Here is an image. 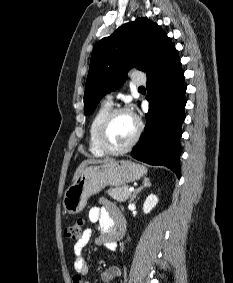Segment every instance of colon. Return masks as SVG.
Listing matches in <instances>:
<instances>
[{"label":"colon","mask_w":233,"mask_h":283,"mask_svg":"<svg viewBox=\"0 0 233 283\" xmlns=\"http://www.w3.org/2000/svg\"><path fill=\"white\" fill-rule=\"evenodd\" d=\"M83 228L84 221L79 218L65 228L64 235L69 240H78L83 233Z\"/></svg>","instance_id":"1"}]
</instances>
